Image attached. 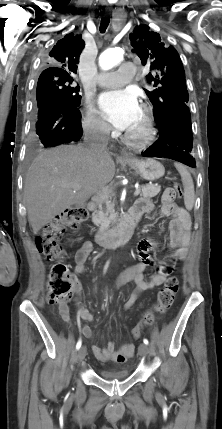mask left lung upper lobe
<instances>
[{
	"label": "left lung upper lobe",
	"instance_id": "left-lung-upper-lobe-1",
	"mask_svg": "<svg viewBox=\"0 0 222 429\" xmlns=\"http://www.w3.org/2000/svg\"><path fill=\"white\" fill-rule=\"evenodd\" d=\"M130 40L132 51L152 71L146 79L153 82L155 89H145V92L154 106L156 125L162 124L173 113L189 110L185 72L178 52L165 45L160 35L147 25L137 26L130 34Z\"/></svg>",
	"mask_w": 222,
	"mask_h": 429
}]
</instances>
